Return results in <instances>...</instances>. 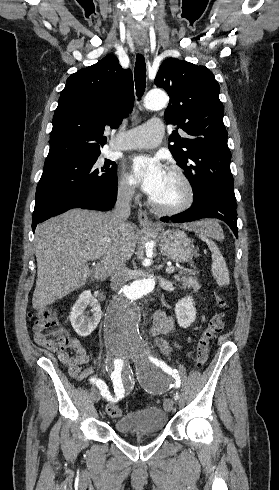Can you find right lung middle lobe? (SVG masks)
Listing matches in <instances>:
<instances>
[{
	"mask_svg": "<svg viewBox=\"0 0 279 490\" xmlns=\"http://www.w3.org/2000/svg\"><path fill=\"white\" fill-rule=\"evenodd\" d=\"M101 151L82 156L45 162L36 195L47 190L106 189L117 185L116 163L98 160Z\"/></svg>",
	"mask_w": 279,
	"mask_h": 490,
	"instance_id": "obj_1",
	"label": "right lung middle lobe"
}]
</instances>
